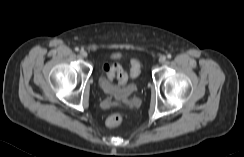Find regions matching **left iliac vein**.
I'll use <instances>...</instances> for the list:
<instances>
[{"label": "left iliac vein", "instance_id": "1", "mask_svg": "<svg viewBox=\"0 0 244 157\" xmlns=\"http://www.w3.org/2000/svg\"><path fill=\"white\" fill-rule=\"evenodd\" d=\"M159 62L160 63H165L166 62V57L164 55L159 57Z\"/></svg>", "mask_w": 244, "mask_h": 157}]
</instances>
